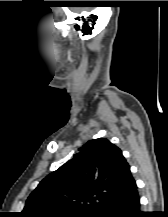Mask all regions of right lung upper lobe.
<instances>
[{
    "label": "right lung upper lobe",
    "instance_id": "right-lung-upper-lobe-1",
    "mask_svg": "<svg viewBox=\"0 0 168 217\" xmlns=\"http://www.w3.org/2000/svg\"><path fill=\"white\" fill-rule=\"evenodd\" d=\"M136 189L121 150L105 138L94 139L39 183L20 217H95L108 203Z\"/></svg>",
    "mask_w": 168,
    "mask_h": 217
}]
</instances>
